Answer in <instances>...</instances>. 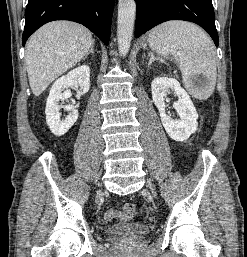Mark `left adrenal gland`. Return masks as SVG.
<instances>
[{"label": "left adrenal gland", "mask_w": 247, "mask_h": 257, "mask_svg": "<svg viewBox=\"0 0 247 257\" xmlns=\"http://www.w3.org/2000/svg\"><path fill=\"white\" fill-rule=\"evenodd\" d=\"M149 56H150V60H149V63H148V66H149V67H150L151 64H152L154 61H156V60H159V61L162 62V63L165 62L163 59H161V58H159V57H155L153 53H150Z\"/></svg>", "instance_id": "a2214340"}]
</instances>
